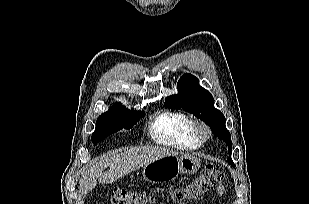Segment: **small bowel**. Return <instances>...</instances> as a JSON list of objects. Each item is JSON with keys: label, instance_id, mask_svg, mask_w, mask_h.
Masks as SVG:
<instances>
[{"label": "small bowel", "instance_id": "c3829d8e", "mask_svg": "<svg viewBox=\"0 0 309 204\" xmlns=\"http://www.w3.org/2000/svg\"><path fill=\"white\" fill-rule=\"evenodd\" d=\"M217 192H218L219 194H224V193H225L224 187H223L222 185H219V186H218V189H217Z\"/></svg>", "mask_w": 309, "mask_h": 204}]
</instances>
